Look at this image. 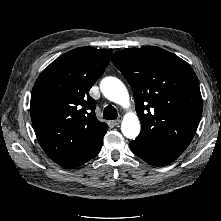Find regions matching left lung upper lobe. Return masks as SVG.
I'll return each mask as SVG.
<instances>
[{"label": "left lung upper lobe", "instance_id": "left-lung-upper-lobe-1", "mask_svg": "<svg viewBox=\"0 0 221 221\" xmlns=\"http://www.w3.org/2000/svg\"><path fill=\"white\" fill-rule=\"evenodd\" d=\"M111 61L133 90L142 125L133 142L184 152L198 128L203 107L191 66L155 46L118 51Z\"/></svg>", "mask_w": 221, "mask_h": 221}]
</instances>
